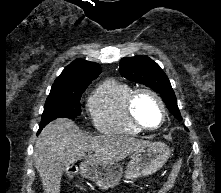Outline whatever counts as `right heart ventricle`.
I'll list each match as a JSON object with an SVG mask.
<instances>
[{
	"instance_id": "e07e8e85",
	"label": "right heart ventricle",
	"mask_w": 221,
	"mask_h": 193,
	"mask_svg": "<svg viewBox=\"0 0 221 193\" xmlns=\"http://www.w3.org/2000/svg\"><path fill=\"white\" fill-rule=\"evenodd\" d=\"M133 91L129 84L111 79L94 91L87 107L93 124L100 132L128 136L142 132L133 124L127 111V101Z\"/></svg>"
}]
</instances>
